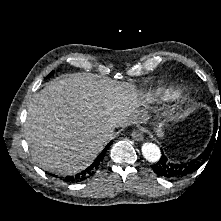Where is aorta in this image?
Returning a JSON list of instances; mask_svg holds the SVG:
<instances>
[{"label": "aorta", "mask_w": 221, "mask_h": 221, "mask_svg": "<svg viewBox=\"0 0 221 221\" xmlns=\"http://www.w3.org/2000/svg\"><path fill=\"white\" fill-rule=\"evenodd\" d=\"M142 155L149 162H157L161 157V151L156 144L146 142L142 145Z\"/></svg>", "instance_id": "1"}]
</instances>
